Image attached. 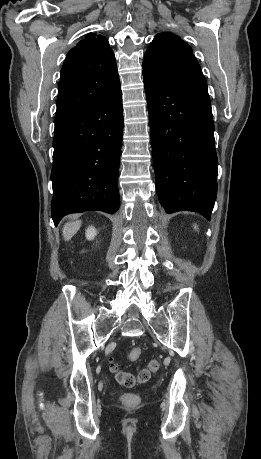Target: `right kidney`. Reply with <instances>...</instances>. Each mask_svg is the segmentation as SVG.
I'll list each match as a JSON object with an SVG mask.
<instances>
[{
  "instance_id": "obj_1",
  "label": "right kidney",
  "mask_w": 261,
  "mask_h": 459,
  "mask_svg": "<svg viewBox=\"0 0 261 459\" xmlns=\"http://www.w3.org/2000/svg\"><path fill=\"white\" fill-rule=\"evenodd\" d=\"M86 238L88 240H92L94 239V237L97 235V231L96 229L93 227V226H90L87 230H86Z\"/></svg>"
}]
</instances>
